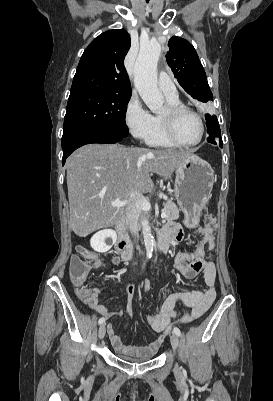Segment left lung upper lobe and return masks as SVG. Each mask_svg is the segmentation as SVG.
I'll return each instance as SVG.
<instances>
[{
  "instance_id": "left-lung-upper-lobe-1",
  "label": "left lung upper lobe",
  "mask_w": 273,
  "mask_h": 401,
  "mask_svg": "<svg viewBox=\"0 0 273 401\" xmlns=\"http://www.w3.org/2000/svg\"><path fill=\"white\" fill-rule=\"evenodd\" d=\"M166 60L183 89L201 102L213 101L206 73L194 47L185 39L173 36Z\"/></svg>"
}]
</instances>
